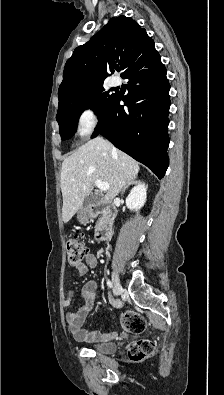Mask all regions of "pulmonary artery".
Wrapping results in <instances>:
<instances>
[{"mask_svg": "<svg viewBox=\"0 0 224 395\" xmlns=\"http://www.w3.org/2000/svg\"><path fill=\"white\" fill-rule=\"evenodd\" d=\"M111 85H112L113 87H115V86L118 85V82H117V81H112Z\"/></svg>", "mask_w": 224, "mask_h": 395, "instance_id": "pulmonary-artery-1", "label": "pulmonary artery"}]
</instances>
